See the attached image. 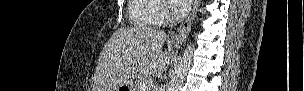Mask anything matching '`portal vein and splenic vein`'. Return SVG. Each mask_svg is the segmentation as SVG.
Listing matches in <instances>:
<instances>
[{"instance_id": "1", "label": "portal vein and splenic vein", "mask_w": 304, "mask_h": 91, "mask_svg": "<svg viewBox=\"0 0 304 91\" xmlns=\"http://www.w3.org/2000/svg\"><path fill=\"white\" fill-rule=\"evenodd\" d=\"M154 82L152 80L143 83L141 91H150L153 88Z\"/></svg>"}]
</instances>
